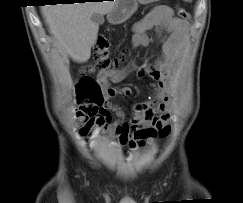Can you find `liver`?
<instances>
[{
    "mask_svg": "<svg viewBox=\"0 0 243 203\" xmlns=\"http://www.w3.org/2000/svg\"><path fill=\"white\" fill-rule=\"evenodd\" d=\"M115 1L44 5L41 10L58 45L73 61L84 63L91 56L99 26L92 22L94 13H109Z\"/></svg>",
    "mask_w": 243,
    "mask_h": 203,
    "instance_id": "6515ba94",
    "label": "liver"
}]
</instances>
